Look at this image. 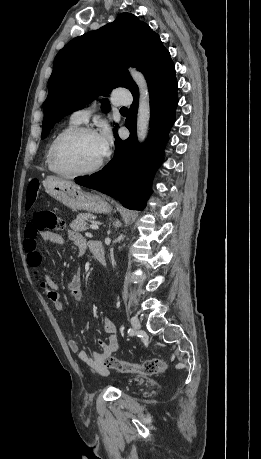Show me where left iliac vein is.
I'll use <instances>...</instances> for the list:
<instances>
[{
  "label": "left iliac vein",
  "instance_id": "left-iliac-vein-1",
  "mask_svg": "<svg viewBox=\"0 0 261 459\" xmlns=\"http://www.w3.org/2000/svg\"><path fill=\"white\" fill-rule=\"evenodd\" d=\"M131 325L135 330H139L141 328L140 322L136 317L131 318Z\"/></svg>",
  "mask_w": 261,
  "mask_h": 459
}]
</instances>
